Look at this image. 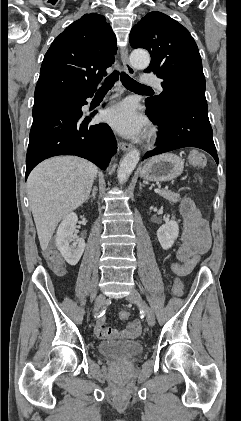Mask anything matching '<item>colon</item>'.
Instances as JSON below:
<instances>
[{"mask_svg": "<svg viewBox=\"0 0 241 421\" xmlns=\"http://www.w3.org/2000/svg\"><path fill=\"white\" fill-rule=\"evenodd\" d=\"M49 3H54L55 0H47ZM189 162L192 166L196 168H204L206 166L207 160L203 153L198 151H193L189 155ZM46 260L50 266V268L57 274H63L64 272V265L63 261L58 254V252L50 248L45 253ZM200 261V256H192L184 261L179 263H173L170 266L172 273L178 277L185 276L189 274L193 268L198 264ZM173 290L176 295H182L183 293V283L180 279H175L173 284ZM119 318L123 321H127L130 318V314L128 311L122 310L119 312Z\"/></svg>", "mask_w": 241, "mask_h": 421, "instance_id": "5ec220e1", "label": "colon"}]
</instances>
